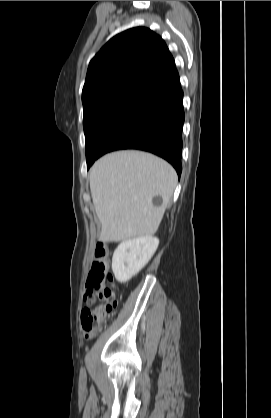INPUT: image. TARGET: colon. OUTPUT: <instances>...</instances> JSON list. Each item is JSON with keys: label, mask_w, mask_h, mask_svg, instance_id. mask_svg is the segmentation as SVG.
<instances>
[{"label": "colon", "mask_w": 271, "mask_h": 418, "mask_svg": "<svg viewBox=\"0 0 271 418\" xmlns=\"http://www.w3.org/2000/svg\"><path fill=\"white\" fill-rule=\"evenodd\" d=\"M87 281L89 289L84 297L86 307L82 310L81 321L86 337H92L101 329L117 306L114 292L106 285L107 282H112V277L109 272L108 248L103 243L96 246ZM97 298L100 303L93 306Z\"/></svg>", "instance_id": "obj_1"}]
</instances>
